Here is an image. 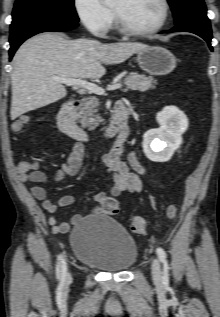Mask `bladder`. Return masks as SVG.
I'll list each match as a JSON object with an SVG mask.
<instances>
[{"instance_id":"bladder-1","label":"bladder","mask_w":220,"mask_h":317,"mask_svg":"<svg viewBox=\"0 0 220 317\" xmlns=\"http://www.w3.org/2000/svg\"><path fill=\"white\" fill-rule=\"evenodd\" d=\"M69 243L78 262L108 272H122L133 266L138 246L117 221L105 215L82 218L72 229Z\"/></svg>"}]
</instances>
